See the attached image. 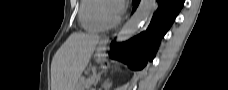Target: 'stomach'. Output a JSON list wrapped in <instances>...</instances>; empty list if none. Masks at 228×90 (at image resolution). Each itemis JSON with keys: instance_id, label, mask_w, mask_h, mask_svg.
Here are the masks:
<instances>
[{"instance_id": "obj_1", "label": "stomach", "mask_w": 228, "mask_h": 90, "mask_svg": "<svg viewBox=\"0 0 228 90\" xmlns=\"http://www.w3.org/2000/svg\"><path fill=\"white\" fill-rule=\"evenodd\" d=\"M104 43L103 42H101L100 43V49H99V52L101 53L102 51H103V48H104ZM100 59V57H98V60Z\"/></svg>"}]
</instances>
